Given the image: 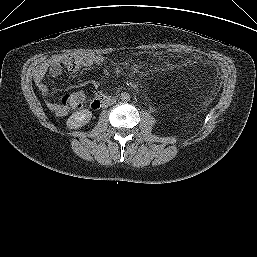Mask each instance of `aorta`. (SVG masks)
<instances>
[{"mask_svg": "<svg viewBox=\"0 0 257 257\" xmlns=\"http://www.w3.org/2000/svg\"><path fill=\"white\" fill-rule=\"evenodd\" d=\"M120 99H121L122 101H124V102H127V101L130 100V94L127 93V92H123V93H121V95H120Z\"/></svg>", "mask_w": 257, "mask_h": 257, "instance_id": "1", "label": "aorta"}]
</instances>
